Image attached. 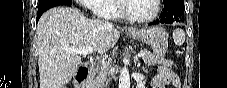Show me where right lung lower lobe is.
<instances>
[{
  "label": "right lung lower lobe",
  "instance_id": "98d812e1",
  "mask_svg": "<svg viewBox=\"0 0 227 88\" xmlns=\"http://www.w3.org/2000/svg\"><path fill=\"white\" fill-rule=\"evenodd\" d=\"M49 8H45V9H38V14H37V18L36 20L38 21L39 18L41 17V15L46 11L48 10Z\"/></svg>",
  "mask_w": 227,
  "mask_h": 88
}]
</instances>
